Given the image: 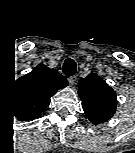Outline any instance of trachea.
Instances as JSON below:
<instances>
[{
	"instance_id": "trachea-1",
	"label": "trachea",
	"mask_w": 135,
	"mask_h": 153,
	"mask_svg": "<svg viewBox=\"0 0 135 153\" xmlns=\"http://www.w3.org/2000/svg\"><path fill=\"white\" fill-rule=\"evenodd\" d=\"M75 72H76V62L71 58L66 59L63 64V73L68 76H73Z\"/></svg>"
}]
</instances>
